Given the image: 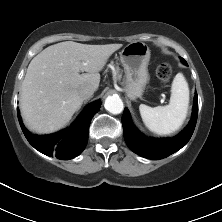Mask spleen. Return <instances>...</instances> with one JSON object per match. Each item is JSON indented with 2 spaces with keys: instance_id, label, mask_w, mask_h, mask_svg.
<instances>
[{
  "instance_id": "obj_1",
  "label": "spleen",
  "mask_w": 222,
  "mask_h": 222,
  "mask_svg": "<svg viewBox=\"0 0 222 222\" xmlns=\"http://www.w3.org/2000/svg\"><path fill=\"white\" fill-rule=\"evenodd\" d=\"M189 106V88L182 73H178L171 87V97L166 106H139L145 126L159 135H169L177 131L184 123Z\"/></svg>"
}]
</instances>
